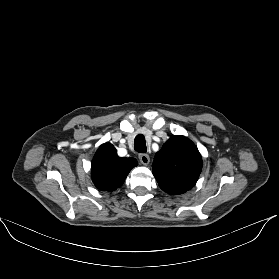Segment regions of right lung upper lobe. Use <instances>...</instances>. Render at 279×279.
<instances>
[{
  "instance_id": "cb5924a9",
  "label": "right lung upper lobe",
  "mask_w": 279,
  "mask_h": 279,
  "mask_svg": "<svg viewBox=\"0 0 279 279\" xmlns=\"http://www.w3.org/2000/svg\"><path fill=\"white\" fill-rule=\"evenodd\" d=\"M137 166L134 158H121L111 143L101 145L92 160V180L102 191H114L122 186L130 170Z\"/></svg>"
}]
</instances>
